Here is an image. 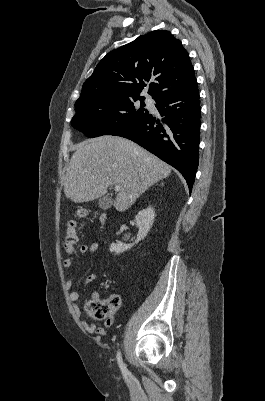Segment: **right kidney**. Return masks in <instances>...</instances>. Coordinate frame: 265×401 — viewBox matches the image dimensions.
Listing matches in <instances>:
<instances>
[{
    "label": "right kidney",
    "mask_w": 265,
    "mask_h": 401,
    "mask_svg": "<svg viewBox=\"0 0 265 401\" xmlns=\"http://www.w3.org/2000/svg\"><path fill=\"white\" fill-rule=\"evenodd\" d=\"M155 219V211L153 207H147V209H143V211H139L138 215L135 217L136 225L139 229L137 239L134 241V243H130V245H125V243H112L110 245L109 251L111 253H124V251H128V249H131L133 245H136V243H139V241H142L144 237H146L147 233H149Z\"/></svg>",
    "instance_id": "ca27d5eb"
}]
</instances>
